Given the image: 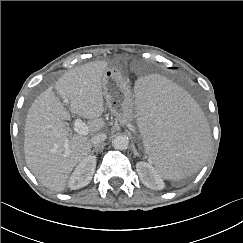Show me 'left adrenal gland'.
I'll return each mask as SVG.
<instances>
[{
    "label": "left adrenal gland",
    "mask_w": 243,
    "mask_h": 243,
    "mask_svg": "<svg viewBox=\"0 0 243 243\" xmlns=\"http://www.w3.org/2000/svg\"><path fill=\"white\" fill-rule=\"evenodd\" d=\"M133 153H134V156H135V157H136V156H139V153L137 152V150H136L135 147H133Z\"/></svg>",
    "instance_id": "1"
}]
</instances>
